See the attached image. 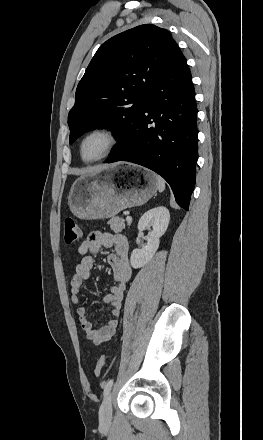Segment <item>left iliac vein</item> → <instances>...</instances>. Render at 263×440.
<instances>
[{
  "label": "left iliac vein",
  "mask_w": 263,
  "mask_h": 440,
  "mask_svg": "<svg viewBox=\"0 0 263 440\" xmlns=\"http://www.w3.org/2000/svg\"><path fill=\"white\" fill-rule=\"evenodd\" d=\"M100 421L102 423H108L112 418V394H108L100 407Z\"/></svg>",
  "instance_id": "obj_1"
}]
</instances>
